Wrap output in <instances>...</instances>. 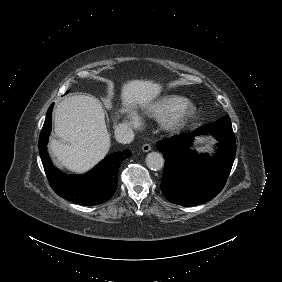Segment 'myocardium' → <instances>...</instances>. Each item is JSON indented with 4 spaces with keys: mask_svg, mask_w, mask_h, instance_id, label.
Wrapping results in <instances>:
<instances>
[{
    "mask_svg": "<svg viewBox=\"0 0 282 282\" xmlns=\"http://www.w3.org/2000/svg\"><path fill=\"white\" fill-rule=\"evenodd\" d=\"M189 109H190V104H189V103H186V104L182 105V106L179 108L178 112H179L180 114H186V113L189 112Z\"/></svg>",
    "mask_w": 282,
    "mask_h": 282,
    "instance_id": "obj_1",
    "label": "myocardium"
}]
</instances>
